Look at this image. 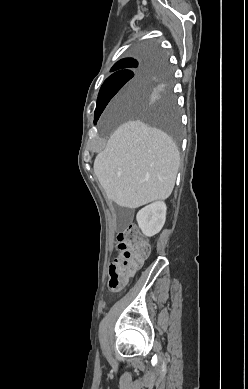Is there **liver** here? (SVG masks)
Here are the masks:
<instances>
[{
	"mask_svg": "<svg viewBox=\"0 0 248 389\" xmlns=\"http://www.w3.org/2000/svg\"><path fill=\"white\" fill-rule=\"evenodd\" d=\"M135 91L124 88L115 102L129 106ZM180 154L165 132L141 121H128L117 128L94 161V173L109 201L138 208L167 199L174 188Z\"/></svg>",
	"mask_w": 248,
	"mask_h": 389,
	"instance_id": "liver-1",
	"label": "liver"
}]
</instances>
